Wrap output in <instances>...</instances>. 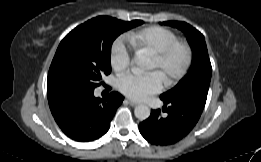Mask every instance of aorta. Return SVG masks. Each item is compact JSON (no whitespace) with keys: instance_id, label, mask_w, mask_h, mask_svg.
<instances>
[{"instance_id":"1","label":"aorta","mask_w":261,"mask_h":162,"mask_svg":"<svg viewBox=\"0 0 261 162\" xmlns=\"http://www.w3.org/2000/svg\"><path fill=\"white\" fill-rule=\"evenodd\" d=\"M133 62L137 67L136 70L141 72L148 65V58L138 51L134 56ZM150 113V108L146 105H138L134 109V114L139 120H146L150 116Z\"/></svg>"}]
</instances>
